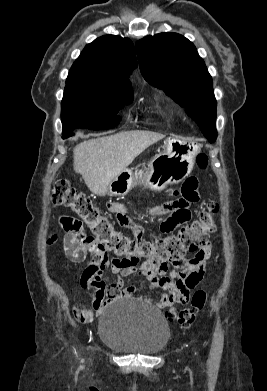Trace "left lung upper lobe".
<instances>
[{
    "label": "left lung upper lobe",
    "instance_id": "1",
    "mask_svg": "<svg viewBox=\"0 0 267 391\" xmlns=\"http://www.w3.org/2000/svg\"><path fill=\"white\" fill-rule=\"evenodd\" d=\"M140 70L151 85L186 109L203 134L216 139V99L212 78L195 46L177 33L146 36L136 42Z\"/></svg>",
    "mask_w": 267,
    "mask_h": 391
}]
</instances>
